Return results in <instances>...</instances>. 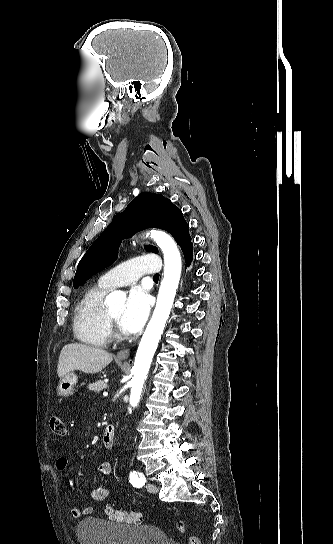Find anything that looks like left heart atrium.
<instances>
[{"instance_id": "1", "label": "left heart atrium", "mask_w": 333, "mask_h": 544, "mask_svg": "<svg viewBox=\"0 0 333 544\" xmlns=\"http://www.w3.org/2000/svg\"><path fill=\"white\" fill-rule=\"evenodd\" d=\"M150 298L142 288L131 290L120 316V326L128 333H137L144 326L150 312Z\"/></svg>"}]
</instances>
